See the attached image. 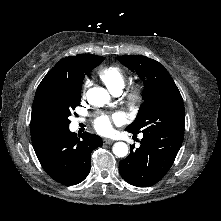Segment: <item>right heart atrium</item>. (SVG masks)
Returning a JSON list of instances; mask_svg holds the SVG:
<instances>
[{
  "mask_svg": "<svg viewBox=\"0 0 221 221\" xmlns=\"http://www.w3.org/2000/svg\"><path fill=\"white\" fill-rule=\"evenodd\" d=\"M88 85H89V81H86V82L84 83V89H86Z\"/></svg>",
  "mask_w": 221,
  "mask_h": 221,
  "instance_id": "1",
  "label": "right heart atrium"
}]
</instances>
